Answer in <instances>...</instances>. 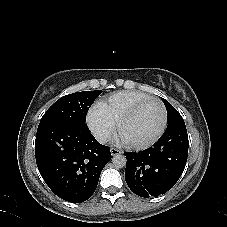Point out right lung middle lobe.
<instances>
[{"mask_svg":"<svg viewBox=\"0 0 227 227\" xmlns=\"http://www.w3.org/2000/svg\"><path fill=\"white\" fill-rule=\"evenodd\" d=\"M102 90L72 93L58 99L43 115L40 123L82 125L87 112Z\"/></svg>","mask_w":227,"mask_h":227,"instance_id":"dd1d6c3e","label":"right lung middle lobe"}]
</instances>
